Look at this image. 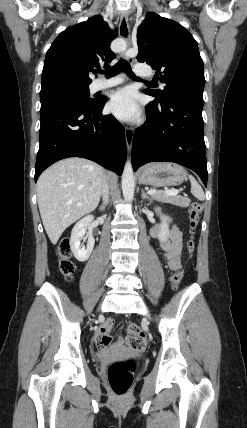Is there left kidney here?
Returning <instances> with one entry per match:
<instances>
[{
    "mask_svg": "<svg viewBox=\"0 0 247 428\" xmlns=\"http://www.w3.org/2000/svg\"><path fill=\"white\" fill-rule=\"evenodd\" d=\"M166 217L164 215L161 216V226L158 234V238L160 242H164L167 240L169 236L168 224L166 222Z\"/></svg>",
    "mask_w": 247,
    "mask_h": 428,
    "instance_id": "1",
    "label": "left kidney"
}]
</instances>
